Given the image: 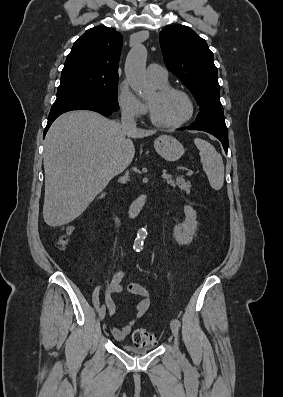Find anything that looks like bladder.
Here are the masks:
<instances>
[{
	"mask_svg": "<svg viewBox=\"0 0 283 397\" xmlns=\"http://www.w3.org/2000/svg\"><path fill=\"white\" fill-rule=\"evenodd\" d=\"M156 344H151L149 346L146 347H134L131 345H122V349L130 354H134V355H143L146 354L150 351H152L155 348Z\"/></svg>",
	"mask_w": 283,
	"mask_h": 397,
	"instance_id": "bladder-1",
	"label": "bladder"
}]
</instances>
